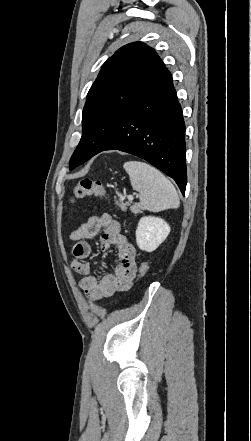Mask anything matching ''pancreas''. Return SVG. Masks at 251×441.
<instances>
[{"mask_svg": "<svg viewBox=\"0 0 251 441\" xmlns=\"http://www.w3.org/2000/svg\"><path fill=\"white\" fill-rule=\"evenodd\" d=\"M117 205L122 211L127 210V206H130V210L134 214H140L142 213L143 207L139 203H134L130 205L129 203H124L123 201L117 202Z\"/></svg>", "mask_w": 251, "mask_h": 441, "instance_id": "obj_1", "label": "pancreas"}]
</instances>
